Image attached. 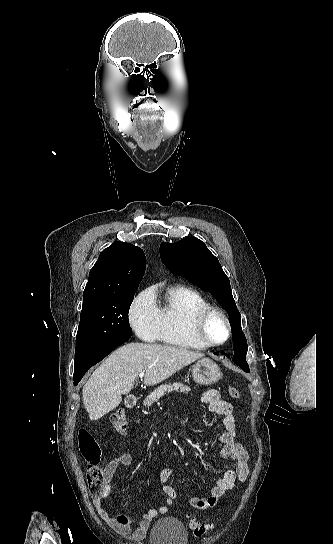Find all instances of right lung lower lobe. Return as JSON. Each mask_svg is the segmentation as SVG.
I'll use <instances>...</instances> for the list:
<instances>
[{"instance_id":"obj_1","label":"right lung lower lobe","mask_w":333,"mask_h":544,"mask_svg":"<svg viewBox=\"0 0 333 544\" xmlns=\"http://www.w3.org/2000/svg\"><path fill=\"white\" fill-rule=\"evenodd\" d=\"M131 336H121L109 344L102 347L100 350L95 352L89 358L84 360L82 363L75 366L74 369V385H77L78 382L82 379L85 372L96 363L100 362L104 357H106L110 352H112L116 347L125 343L130 339Z\"/></svg>"}]
</instances>
